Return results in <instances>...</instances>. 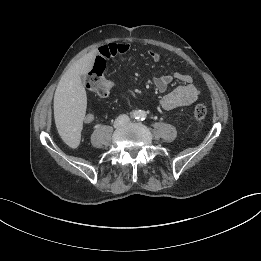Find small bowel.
Returning <instances> with one entry per match:
<instances>
[{"label":"small bowel","mask_w":261,"mask_h":261,"mask_svg":"<svg viewBox=\"0 0 261 261\" xmlns=\"http://www.w3.org/2000/svg\"><path fill=\"white\" fill-rule=\"evenodd\" d=\"M129 51L130 45L128 43L111 42L99 48L95 62L101 61L106 65L108 59L118 55H125ZM148 56L154 63H158L161 60L160 54L155 50H149ZM174 80L180 81L181 84L167 92L169 85ZM107 83L112 91L114 87L113 83L109 80H107ZM154 84L156 89L164 94L160 100V105L165 110L189 106L199 97V90L192 83V78L187 74L174 73L158 75L154 78ZM83 121L85 124H91L94 121V115L91 113L86 114Z\"/></svg>","instance_id":"c3829d8e"}]
</instances>
